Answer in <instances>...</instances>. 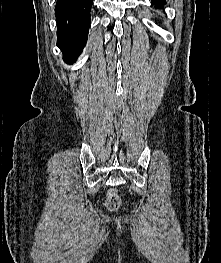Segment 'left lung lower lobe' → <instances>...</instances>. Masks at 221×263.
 <instances>
[{
	"instance_id": "1",
	"label": "left lung lower lobe",
	"mask_w": 221,
	"mask_h": 263,
	"mask_svg": "<svg viewBox=\"0 0 221 263\" xmlns=\"http://www.w3.org/2000/svg\"><path fill=\"white\" fill-rule=\"evenodd\" d=\"M152 4H155L156 7L161 8L165 4V0H152Z\"/></svg>"
}]
</instances>
